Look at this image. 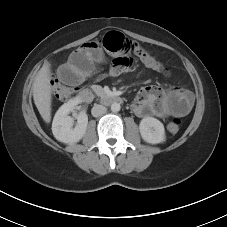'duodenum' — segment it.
Listing matches in <instances>:
<instances>
[{"instance_id": "duodenum-1", "label": "duodenum", "mask_w": 227, "mask_h": 227, "mask_svg": "<svg viewBox=\"0 0 227 227\" xmlns=\"http://www.w3.org/2000/svg\"><path fill=\"white\" fill-rule=\"evenodd\" d=\"M79 98L84 103H90L94 100L95 95L90 89H83L79 93ZM101 100L106 103H121L123 99L117 94H107L102 96Z\"/></svg>"}]
</instances>
